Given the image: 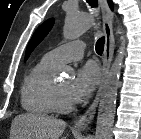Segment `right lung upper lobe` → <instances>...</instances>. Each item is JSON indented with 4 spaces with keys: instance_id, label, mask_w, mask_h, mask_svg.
<instances>
[{
    "instance_id": "obj_1",
    "label": "right lung upper lobe",
    "mask_w": 141,
    "mask_h": 139,
    "mask_svg": "<svg viewBox=\"0 0 141 139\" xmlns=\"http://www.w3.org/2000/svg\"><path fill=\"white\" fill-rule=\"evenodd\" d=\"M108 2H109V5H110L111 9H113L112 1L111 0H108Z\"/></svg>"
}]
</instances>
